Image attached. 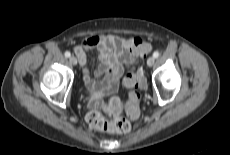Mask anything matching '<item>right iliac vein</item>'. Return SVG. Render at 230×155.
Returning <instances> with one entry per match:
<instances>
[{
	"label": "right iliac vein",
	"instance_id": "right-iliac-vein-1",
	"mask_svg": "<svg viewBox=\"0 0 230 155\" xmlns=\"http://www.w3.org/2000/svg\"><path fill=\"white\" fill-rule=\"evenodd\" d=\"M69 62L72 64V65H76L77 64V58L75 56H70L69 57Z\"/></svg>",
	"mask_w": 230,
	"mask_h": 155
}]
</instances>
